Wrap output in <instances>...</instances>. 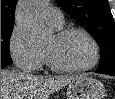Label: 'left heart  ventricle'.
<instances>
[{
	"label": "left heart ventricle",
	"instance_id": "b2bd125f",
	"mask_svg": "<svg viewBox=\"0 0 115 99\" xmlns=\"http://www.w3.org/2000/svg\"><path fill=\"white\" fill-rule=\"evenodd\" d=\"M56 63L63 66H82L88 64L93 56L90 42L80 33H72L58 39L55 35L45 48Z\"/></svg>",
	"mask_w": 115,
	"mask_h": 99
}]
</instances>
